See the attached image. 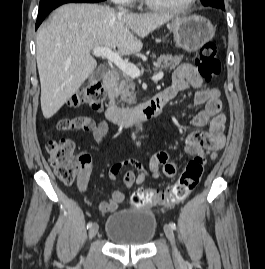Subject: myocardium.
<instances>
[{
	"mask_svg": "<svg viewBox=\"0 0 265 269\" xmlns=\"http://www.w3.org/2000/svg\"><path fill=\"white\" fill-rule=\"evenodd\" d=\"M148 7L158 10V11H173V12H182L189 8H191L196 0H188L183 4L179 5H170V4H162L155 0H142Z\"/></svg>",
	"mask_w": 265,
	"mask_h": 269,
	"instance_id": "f54148a6",
	"label": "myocardium"
}]
</instances>
